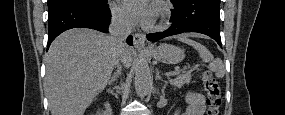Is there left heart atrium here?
<instances>
[{
  "label": "left heart atrium",
  "mask_w": 285,
  "mask_h": 115,
  "mask_svg": "<svg viewBox=\"0 0 285 115\" xmlns=\"http://www.w3.org/2000/svg\"><path fill=\"white\" fill-rule=\"evenodd\" d=\"M122 5L136 22L147 26L153 24L156 10L149 0H123Z\"/></svg>",
  "instance_id": "1"
}]
</instances>
